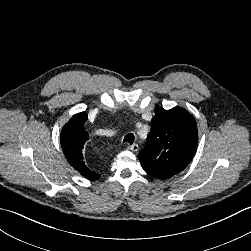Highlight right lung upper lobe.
Instances as JSON below:
<instances>
[{"label":"right lung upper lobe","instance_id":"cb5924a9","mask_svg":"<svg viewBox=\"0 0 251 251\" xmlns=\"http://www.w3.org/2000/svg\"><path fill=\"white\" fill-rule=\"evenodd\" d=\"M87 120L86 112L74 115L62 128L61 147L67 161L81 175L89 180H96L100 175L87 166L84 161L82 150L89 134L84 128Z\"/></svg>","mask_w":251,"mask_h":251}]
</instances>
